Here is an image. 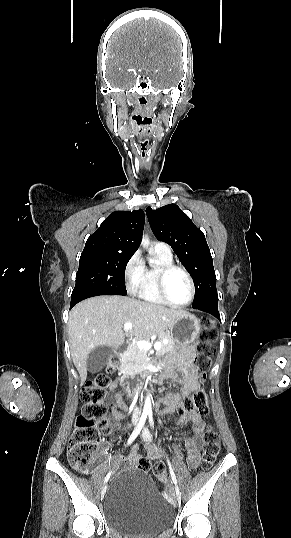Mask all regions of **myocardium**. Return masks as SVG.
Segmentation results:
<instances>
[{
  "instance_id": "myocardium-1",
  "label": "myocardium",
  "mask_w": 291,
  "mask_h": 538,
  "mask_svg": "<svg viewBox=\"0 0 291 538\" xmlns=\"http://www.w3.org/2000/svg\"><path fill=\"white\" fill-rule=\"evenodd\" d=\"M174 271L182 272L186 276L189 283L190 294H189L188 299L183 303H176L172 301L167 294L166 280L168 276ZM157 289H158L159 295L164 300V302L173 307H179V308L186 307L193 301L194 296H195V284H194L191 274L184 267L175 265V264L165 265L159 269L157 273Z\"/></svg>"
}]
</instances>
